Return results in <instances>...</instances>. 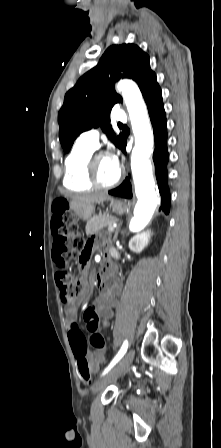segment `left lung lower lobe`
<instances>
[{"label":"left lung lower lobe","instance_id":"1","mask_svg":"<svg viewBox=\"0 0 221 448\" xmlns=\"http://www.w3.org/2000/svg\"><path fill=\"white\" fill-rule=\"evenodd\" d=\"M148 107L150 120L154 131L155 150L153 153V160L156 170V178L161 195V207L165 214L170 210V193L167 186V170L166 165L168 161L167 152V127L164 105L162 101L160 87H155L144 96ZM126 138L120 149L125 152ZM110 195H115L123 198L132 197V187L128 178L117 188L109 191Z\"/></svg>","mask_w":221,"mask_h":448}]
</instances>
